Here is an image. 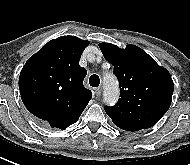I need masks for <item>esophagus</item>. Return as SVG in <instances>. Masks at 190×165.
I'll list each match as a JSON object with an SVG mask.
<instances>
[{"label": "esophagus", "instance_id": "1", "mask_svg": "<svg viewBox=\"0 0 190 165\" xmlns=\"http://www.w3.org/2000/svg\"><path fill=\"white\" fill-rule=\"evenodd\" d=\"M101 91H102L101 87H98V88H96V89L94 90V94H95V96H96L97 98L100 97Z\"/></svg>", "mask_w": 190, "mask_h": 165}]
</instances>
